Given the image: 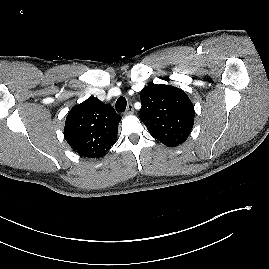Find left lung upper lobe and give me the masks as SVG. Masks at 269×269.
I'll return each instance as SVG.
<instances>
[{
  "mask_svg": "<svg viewBox=\"0 0 269 269\" xmlns=\"http://www.w3.org/2000/svg\"><path fill=\"white\" fill-rule=\"evenodd\" d=\"M140 120L152 137L169 147L182 144L194 124V107L174 86L149 84L140 93Z\"/></svg>",
  "mask_w": 269,
  "mask_h": 269,
  "instance_id": "obj_1",
  "label": "left lung upper lobe"
}]
</instances>
